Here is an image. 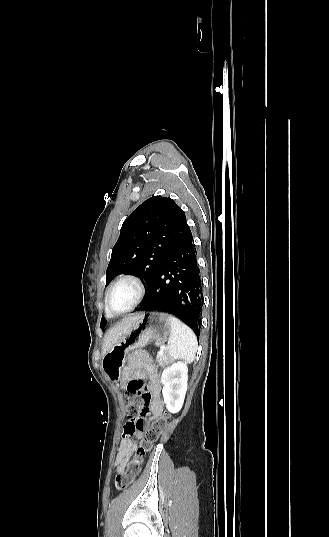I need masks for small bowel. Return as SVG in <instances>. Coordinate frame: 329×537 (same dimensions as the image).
<instances>
[{"label":"small bowel","instance_id":"1","mask_svg":"<svg viewBox=\"0 0 329 537\" xmlns=\"http://www.w3.org/2000/svg\"><path fill=\"white\" fill-rule=\"evenodd\" d=\"M127 376L129 380L124 386L125 390L121 393L122 398L136 397L143 391L147 392L150 399L146 406V413H149L146 421L149 423L155 422L160 418L163 411V405L160 400L161 385L156 366L146 353L136 352L130 356ZM140 436V432L132 427L128 425L124 427V435L114 462V468L117 473H122L130 461L136 457Z\"/></svg>","mask_w":329,"mask_h":537}]
</instances>
